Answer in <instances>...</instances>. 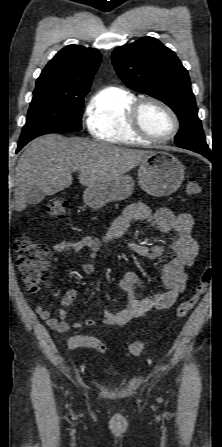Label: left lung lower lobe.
Instances as JSON below:
<instances>
[{
	"mask_svg": "<svg viewBox=\"0 0 222 447\" xmlns=\"http://www.w3.org/2000/svg\"><path fill=\"white\" fill-rule=\"evenodd\" d=\"M189 150V149H188ZM210 150V149H209ZM192 151H195V152H198V153H200V154H202V155H204L205 157H207L208 159H210L211 158V152L209 151V152H205V151H196V150H192Z\"/></svg>",
	"mask_w": 222,
	"mask_h": 447,
	"instance_id": "left-lung-lower-lobe-1",
	"label": "left lung lower lobe"
}]
</instances>
